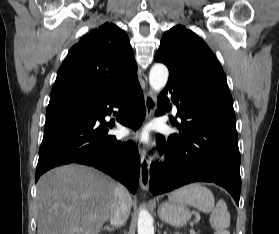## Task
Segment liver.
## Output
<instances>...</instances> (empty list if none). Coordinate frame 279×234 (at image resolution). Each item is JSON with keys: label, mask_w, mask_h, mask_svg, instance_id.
<instances>
[{"label": "liver", "mask_w": 279, "mask_h": 234, "mask_svg": "<svg viewBox=\"0 0 279 234\" xmlns=\"http://www.w3.org/2000/svg\"><path fill=\"white\" fill-rule=\"evenodd\" d=\"M117 185L83 165L50 170L37 184V234H98L110 217Z\"/></svg>", "instance_id": "liver-1"}]
</instances>
